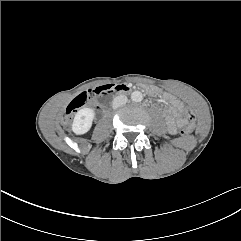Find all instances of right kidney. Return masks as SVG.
Listing matches in <instances>:
<instances>
[{
    "label": "right kidney",
    "mask_w": 241,
    "mask_h": 241,
    "mask_svg": "<svg viewBox=\"0 0 241 241\" xmlns=\"http://www.w3.org/2000/svg\"><path fill=\"white\" fill-rule=\"evenodd\" d=\"M95 117V112L91 108H82L80 109L74 117L72 123V131L77 135H83L87 133Z\"/></svg>",
    "instance_id": "right-kidney-1"
}]
</instances>
